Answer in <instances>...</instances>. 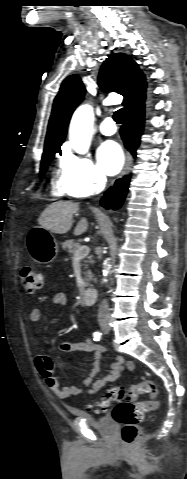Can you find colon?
Instances as JSON below:
<instances>
[{"mask_svg": "<svg viewBox=\"0 0 187 479\" xmlns=\"http://www.w3.org/2000/svg\"><path fill=\"white\" fill-rule=\"evenodd\" d=\"M20 276L22 289L27 294L34 293L43 285L42 273L32 266H23L20 269ZM139 394H148L151 400L137 401ZM157 394L156 384L152 380L146 379L134 385L130 390L119 387L108 388L97 406L101 410H105L110 403H117L112 416L121 425L122 441L124 444L131 446L136 443L141 435L140 423L143 420L144 413L157 408Z\"/></svg>", "mask_w": 187, "mask_h": 479, "instance_id": "1", "label": "colon"}]
</instances>
